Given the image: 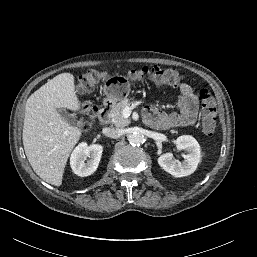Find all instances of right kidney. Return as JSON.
I'll list each match as a JSON object with an SVG mask.
<instances>
[{"instance_id": "1", "label": "right kidney", "mask_w": 257, "mask_h": 257, "mask_svg": "<svg viewBox=\"0 0 257 257\" xmlns=\"http://www.w3.org/2000/svg\"><path fill=\"white\" fill-rule=\"evenodd\" d=\"M103 147L99 144L88 146L86 143H80L72 152L70 157V166L72 171L80 176L86 177L93 174L100 162ZM88 159L86 162L85 160Z\"/></svg>"}]
</instances>
